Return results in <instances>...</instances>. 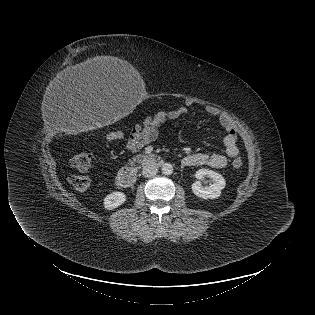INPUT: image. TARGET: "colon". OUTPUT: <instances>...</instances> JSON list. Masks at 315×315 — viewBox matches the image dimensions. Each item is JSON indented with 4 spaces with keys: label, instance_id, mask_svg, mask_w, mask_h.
Masks as SVG:
<instances>
[{
    "label": "colon",
    "instance_id": "1",
    "mask_svg": "<svg viewBox=\"0 0 315 315\" xmlns=\"http://www.w3.org/2000/svg\"><path fill=\"white\" fill-rule=\"evenodd\" d=\"M123 137L124 133H122L121 131H114L108 135L109 140H120ZM92 159L93 153L91 151L84 150L75 154L71 158L70 164L75 169L84 172L90 168ZM232 165L234 168H240L243 165V161L241 158H236L233 160ZM69 182L78 192H87L91 185L90 178L84 174L71 175L69 177Z\"/></svg>",
    "mask_w": 315,
    "mask_h": 315
}]
</instances>
